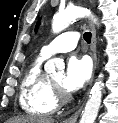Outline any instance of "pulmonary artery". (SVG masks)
Returning a JSON list of instances; mask_svg holds the SVG:
<instances>
[{
	"label": "pulmonary artery",
	"mask_w": 118,
	"mask_h": 123,
	"mask_svg": "<svg viewBox=\"0 0 118 123\" xmlns=\"http://www.w3.org/2000/svg\"><path fill=\"white\" fill-rule=\"evenodd\" d=\"M79 37L76 31L62 33L42 47L41 55L47 58L56 53L69 52L76 47Z\"/></svg>",
	"instance_id": "e3ab8cb5"
}]
</instances>
